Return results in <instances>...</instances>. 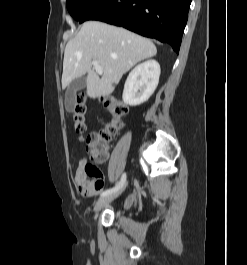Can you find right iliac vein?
<instances>
[{
    "mask_svg": "<svg viewBox=\"0 0 247 265\" xmlns=\"http://www.w3.org/2000/svg\"><path fill=\"white\" fill-rule=\"evenodd\" d=\"M125 186L126 184H124L119 190L100 198L94 206V212L95 213L99 212L102 208L106 207L109 203H111L114 199H116L122 193Z\"/></svg>",
    "mask_w": 247,
    "mask_h": 265,
    "instance_id": "right-iliac-vein-1",
    "label": "right iliac vein"
}]
</instances>
